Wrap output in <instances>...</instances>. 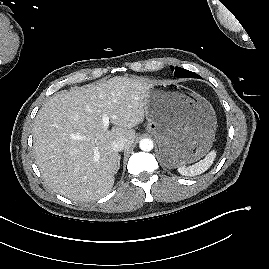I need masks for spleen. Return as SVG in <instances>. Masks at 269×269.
Masks as SVG:
<instances>
[{
    "instance_id": "3e777b00",
    "label": "spleen",
    "mask_w": 269,
    "mask_h": 269,
    "mask_svg": "<svg viewBox=\"0 0 269 269\" xmlns=\"http://www.w3.org/2000/svg\"><path fill=\"white\" fill-rule=\"evenodd\" d=\"M216 157V151H210L203 160L191 165V166H179L178 172L185 176L199 175L210 168Z\"/></svg>"
}]
</instances>
